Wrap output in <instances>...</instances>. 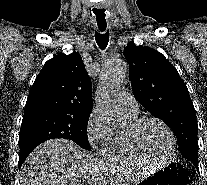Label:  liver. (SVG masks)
Listing matches in <instances>:
<instances>
[{"label":"liver","mask_w":207,"mask_h":185,"mask_svg":"<svg viewBox=\"0 0 207 185\" xmlns=\"http://www.w3.org/2000/svg\"><path fill=\"white\" fill-rule=\"evenodd\" d=\"M98 163L84 149L67 139H51L38 145L20 171L21 185H75L81 179L96 181Z\"/></svg>","instance_id":"6515ba94"}]
</instances>
